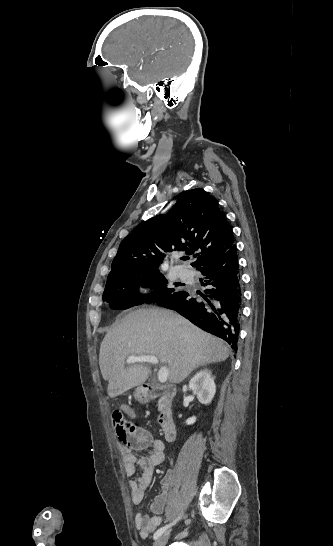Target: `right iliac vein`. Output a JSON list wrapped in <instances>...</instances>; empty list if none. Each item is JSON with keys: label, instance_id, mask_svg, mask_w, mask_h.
Listing matches in <instances>:
<instances>
[{"label": "right iliac vein", "instance_id": "obj_1", "mask_svg": "<svg viewBox=\"0 0 333 546\" xmlns=\"http://www.w3.org/2000/svg\"><path fill=\"white\" fill-rule=\"evenodd\" d=\"M169 536H170V532H167V533L163 534L162 536H160V537L154 542V545H153V546H165V544H166L167 541H168Z\"/></svg>", "mask_w": 333, "mask_h": 546}]
</instances>
